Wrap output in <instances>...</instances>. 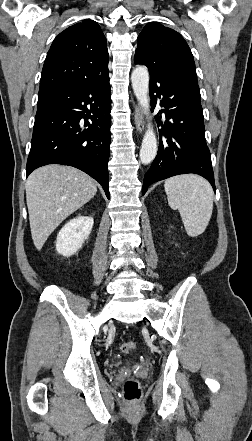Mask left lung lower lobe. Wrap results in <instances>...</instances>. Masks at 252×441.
<instances>
[{"instance_id": "left-lung-lower-lobe-1", "label": "left lung lower lobe", "mask_w": 252, "mask_h": 441, "mask_svg": "<svg viewBox=\"0 0 252 441\" xmlns=\"http://www.w3.org/2000/svg\"><path fill=\"white\" fill-rule=\"evenodd\" d=\"M150 97L153 108L161 98L166 121H160L158 153L144 176L142 195L154 182L178 174L196 173L206 178L216 191L211 154L205 140L203 109L198 84L187 73L166 69L150 74Z\"/></svg>"}]
</instances>
